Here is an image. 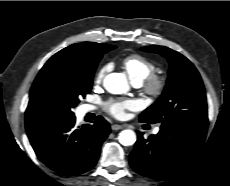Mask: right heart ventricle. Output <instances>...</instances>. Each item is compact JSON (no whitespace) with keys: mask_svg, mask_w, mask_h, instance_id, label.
I'll list each match as a JSON object with an SVG mask.
<instances>
[{"mask_svg":"<svg viewBox=\"0 0 230 186\" xmlns=\"http://www.w3.org/2000/svg\"><path fill=\"white\" fill-rule=\"evenodd\" d=\"M122 66L132 83H142L153 73L155 66L152 61L140 54H129L122 60Z\"/></svg>","mask_w":230,"mask_h":186,"instance_id":"e07e8e85","label":"right heart ventricle"}]
</instances>
